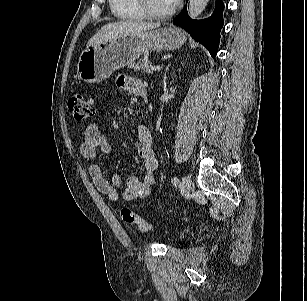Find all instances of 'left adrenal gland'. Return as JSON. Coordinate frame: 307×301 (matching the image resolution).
Segmentation results:
<instances>
[{
	"instance_id": "left-adrenal-gland-1",
	"label": "left adrenal gland",
	"mask_w": 307,
	"mask_h": 301,
	"mask_svg": "<svg viewBox=\"0 0 307 301\" xmlns=\"http://www.w3.org/2000/svg\"><path fill=\"white\" fill-rule=\"evenodd\" d=\"M164 80L166 81V74H164Z\"/></svg>"
}]
</instances>
